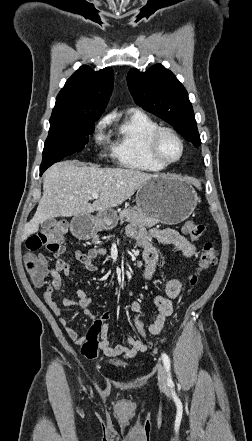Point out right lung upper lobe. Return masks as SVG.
I'll use <instances>...</instances> for the list:
<instances>
[{
  "mask_svg": "<svg viewBox=\"0 0 252 441\" xmlns=\"http://www.w3.org/2000/svg\"><path fill=\"white\" fill-rule=\"evenodd\" d=\"M113 80L110 67L95 72L81 66L59 92L52 114L99 118L111 95Z\"/></svg>",
  "mask_w": 252,
  "mask_h": 441,
  "instance_id": "cb5924a9",
  "label": "right lung upper lobe"
}]
</instances>
